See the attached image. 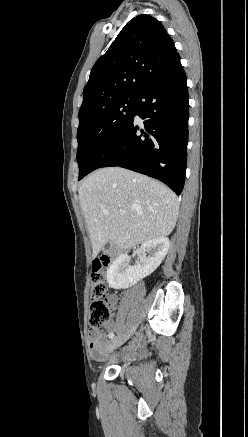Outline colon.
I'll return each mask as SVG.
<instances>
[{
  "label": "colon",
  "instance_id": "1",
  "mask_svg": "<svg viewBox=\"0 0 248 437\" xmlns=\"http://www.w3.org/2000/svg\"><path fill=\"white\" fill-rule=\"evenodd\" d=\"M108 263V257L96 258L92 262L89 311V322L92 327H101L111 319L109 287L105 279V267Z\"/></svg>",
  "mask_w": 248,
  "mask_h": 437
}]
</instances>
